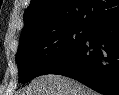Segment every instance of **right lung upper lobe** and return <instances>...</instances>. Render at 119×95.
I'll return each instance as SVG.
<instances>
[{"label":"right lung upper lobe","instance_id":"right-lung-upper-lobe-1","mask_svg":"<svg viewBox=\"0 0 119 95\" xmlns=\"http://www.w3.org/2000/svg\"><path fill=\"white\" fill-rule=\"evenodd\" d=\"M117 17L119 0H31L24 12L21 37L47 26L77 24L93 28Z\"/></svg>","mask_w":119,"mask_h":95}]
</instances>
